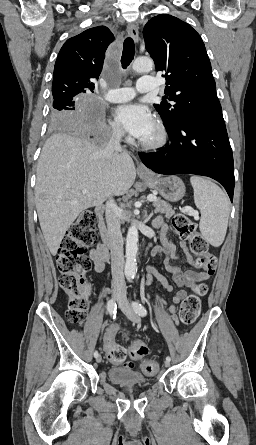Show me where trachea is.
I'll list each match as a JSON object with an SVG mask.
<instances>
[{
  "label": "trachea",
  "instance_id": "obj_1",
  "mask_svg": "<svg viewBox=\"0 0 256 445\" xmlns=\"http://www.w3.org/2000/svg\"><path fill=\"white\" fill-rule=\"evenodd\" d=\"M135 45L132 38H126L123 44V53L121 57V64L123 69H126L134 59Z\"/></svg>",
  "mask_w": 256,
  "mask_h": 445
}]
</instances>
